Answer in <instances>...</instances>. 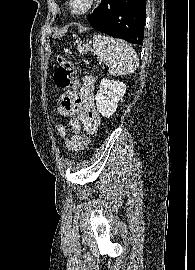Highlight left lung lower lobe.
Listing matches in <instances>:
<instances>
[{
	"label": "left lung lower lobe",
	"mask_w": 195,
	"mask_h": 270,
	"mask_svg": "<svg viewBox=\"0 0 195 270\" xmlns=\"http://www.w3.org/2000/svg\"><path fill=\"white\" fill-rule=\"evenodd\" d=\"M146 0H101L89 16L90 25L115 38L142 44Z\"/></svg>",
	"instance_id": "1"
}]
</instances>
